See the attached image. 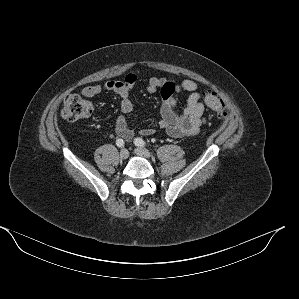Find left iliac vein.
I'll list each match as a JSON object with an SVG mask.
<instances>
[{
  "label": "left iliac vein",
  "instance_id": "1",
  "mask_svg": "<svg viewBox=\"0 0 299 299\" xmlns=\"http://www.w3.org/2000/svg\"><path fill=\"white\" fill-rule=\"evenodd\" d=\"M134 151L135 154L138 156L145 157V158L151 157V153L145 148L137 147Z\"/></svg>",
  "mask_w": 299,
  "mask_h": 299
}]
</instances>
